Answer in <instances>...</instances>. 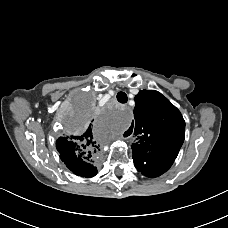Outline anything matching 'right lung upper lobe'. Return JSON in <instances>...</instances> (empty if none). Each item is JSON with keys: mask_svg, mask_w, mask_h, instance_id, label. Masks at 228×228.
I'll return each mask as SVG.
<instances>
[{"mask_svg": "<svg viewBox=\"0 0 228 228\" xmlns=\"http://www.w3.org/2000/svg\"><path fill=\"white\" fill-rule=\"evenodd\" d=\"M99 147L94 139L91 124L83 134L60 137L56 141L61 160L76 175L86 178L97 173L92 163L100 151Z\"/></svg>", "mask_w": 228, "mask_h": 228, "instance_id": "1", "label": "right lung upper lobe"}]
</instances>
